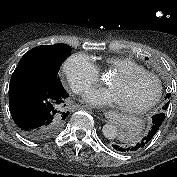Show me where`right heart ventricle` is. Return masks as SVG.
<instances>
[{"label": "right heart ventricle", "mask_w": 177, "mask_h": 177, "mask_svg": "<svg viewBox=\"0 0 177 177\" xmlns=\"http://www.w3.org/2000/svg\"><path fill=\"white\" fill-rule=\"evenodd\" d=\"M103 71H111L114 73L117 72H125V71H142L144 70L143 66L137 63L136 61L125 58V57H117V58H108L99 65V68Z\"/></svg>", "instance_id": "e07e8e85"}]
</instances>
